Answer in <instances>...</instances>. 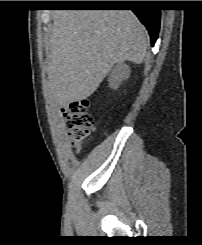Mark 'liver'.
I'll return each mask as SVG.
<instances>
[{"mask_svg": "<svg viewBox=\"0 0 202 245\" xmlns=\"http://www.w3.org/2000/svg\"><path fill=\"white\" fill-rule=\"evenodd\" d=\"M48 42L51 91L65 106L91 96L114 64L141 63L149 37L130 10H60Z\"/></svg>", "mask_w": 202, "mask_h": 245, "instance_id": "liver-1", "label": "liver"}]
</instances>
